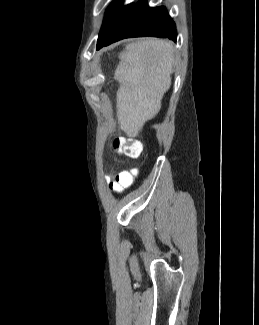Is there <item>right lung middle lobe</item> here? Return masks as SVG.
<instances>
[{
  "label": "right lung middle lobe",
  "mask_w": 259,
  "mask_h": 325,
  "mask_svg": "<svg viewBox=\"0 0 259 325\" xmlns=\"http://www.w3.org/2000/svg\"><path fill=\"white\" fill-rule=\"evenodd\" d=\"M122 0H115L108 8L109 12L106 14L102 29L99 33L98 43L105 41L111 33L115 30L118 23L124 17L132 4L121 6Z\"/></svg>",
  "instance_id": "right-lung-middle-lobe-1"
}]
</instances>
